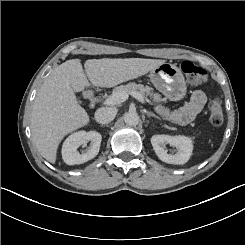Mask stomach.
Returning a JSON list of instances; mask_svg holds the SVG:
<instances>
[{
	"mask_svg": "<svg viewBox=\"0 0 245 245\" xmlns=\"http://www.w3.org/2000/svg\"><path fill=\"white\" fill-rule=\"evenodd\" d=\"M150 80L157 90L172 101L186 95V82L181 69L171 63H163L150 71Z\"/></svg>",
	"mask_w": 245,
	"mask_h": 245,
	"instance_id": "stomach-1",
	"label": "stomach"
}]
</instances>
